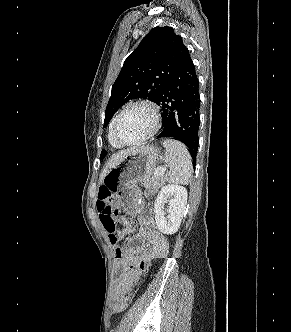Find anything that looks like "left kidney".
Returning <instances> with one entry per match:
<instances>
[{"mask_svg": "<svg viewBox=\"0 0 291 332\" xmlns=\"http://www.w3.org/2000/svg\"><path fill=\"white\" fill-rule=\"evenodd\" d=\"M187 190L183 186L168 184L161 188L154 203L158 229L167 235L177 232L185 214ZM165 203L168 209L164 210Z\"/></svg>", "mask_w": 291, "mask_h": 332, "instance_id": "1", "label": "left kidney"}]
</instances>
